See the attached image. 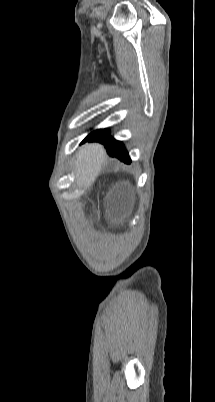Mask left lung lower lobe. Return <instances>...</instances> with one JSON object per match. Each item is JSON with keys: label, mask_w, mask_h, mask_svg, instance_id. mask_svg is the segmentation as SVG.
<instances>
[{"label": "left lung lower lobe", "mask_w": 215, "mask_h": 402, "mask_svg": "<svg viewBox=\"0 0 215 402\" xmlns=\"http://www.w3.org/2000/svg\"><path fill=\"white\" fill-rule=\"evenodd\" d=\"M100 142L106 148L107 153L112 157H117L125 163H131V159L126 151L122 142L114 139L108 129L96 130L94 133L89 134L83 141L84 142Z\"/></svg>", "instance_id": "obj_1"}]
</instances>
